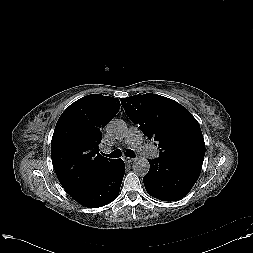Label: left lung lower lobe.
I'll return each mask as SVG.
<instances>
[{
	"label": "left lung lower lobe",
	"mask_w": 253,
	"mask_h": 253,
	"mask_svg": "<svg viewBox=\"0 0 253 253\" xmlns=\"http://www.w3.org/2000/svg\"><path fill=\"white\" fill-rule=\"evenodd\" d=\"M144 176L146 191L163 201H176L188 194L198 180L203 160L191 157H159L149 160Z\"/></svg>",
	"instance_id": "left-lung-lower-lobe-1"
}]
</instances>
